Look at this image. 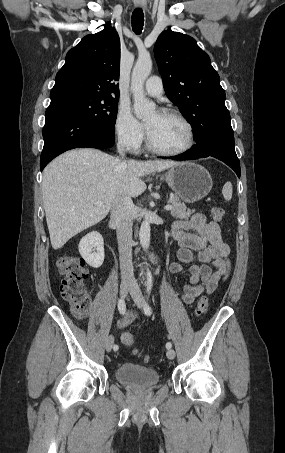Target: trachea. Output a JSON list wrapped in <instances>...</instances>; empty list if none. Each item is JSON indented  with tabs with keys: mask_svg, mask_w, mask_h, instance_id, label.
Instances as JSON below:
<instances>
[{
	"mask_svg": "<svg viewBox=\"0 0 285 453\" xmlns=\"http://www.w3.org/2000/svg\"><path fill=\"white\" fill-rule=\"evenodd\" d=\"M144 26V14L141 8H137L132 13V29L136 34H141Z\"/></svg>",
	"mask_w": 285,
	"mask_h": 453,
	"instance_id": "1",
	"label": "trachea"
}]
</instances>
